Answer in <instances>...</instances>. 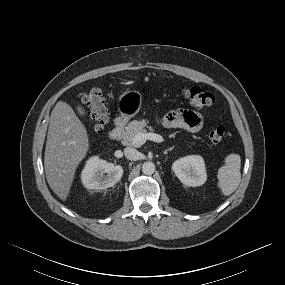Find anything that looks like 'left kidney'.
Masks as SVG:
<instances>
[{
  "label": "left kidney",
  "instance_id": "1",
  "mask_svg": "<svg viewBox=\"0 0 285 285\" xmlns=\"http://www.w3.org/2000/svg\"><path fill=\"white\" fill-rule=\"evenodd\" d=\"M177 178L186 186H201L207 180L204 159L199 155L179 158L172 164Z\"/></svg>",
  "mask_w": 285,
  "mask_h": 285
}]
</instances>
